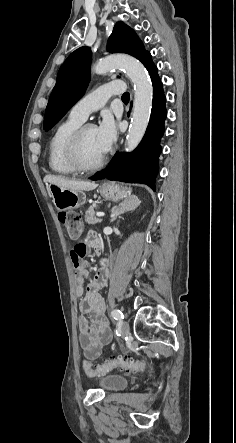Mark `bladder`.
I'll return each mask as SVG.
<instances>
[{
    "mask_svg": "<svg viewBox=\"0 0 236 443\" xmlns=\"http://www.w3.org/2000/svg\"><path fill=\"white\" fill-rule=\"evenodd\" d=\"M99 383L106 390L119 391L129 384V379L120 374L107 373L99 377Z\"/></svg>",
    "mask_w": 236,
    "mask_h": 443,
    "instance_id": "1",
    "label": "bladder"
}]
</instances>
